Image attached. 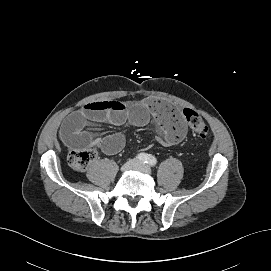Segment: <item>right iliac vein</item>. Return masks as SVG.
Here are the masks:
<instances>
[{
  "label": "right iliac vein",
  "mask_w": 271,
  "mask_h": 271,
  "mask_svg": "<svg viewBox=\"0 0 271 271\" xmlns=\"http://www.w3.org/2000/svg\"><path fill=\"white\" fill-rule=\"evenodd\" d=\"M138 163L136 160L132 159L124 163L121 167V171L126 172L137 167Z\"/></svg>",
  "instance_id": "1"
}]
</instances>
